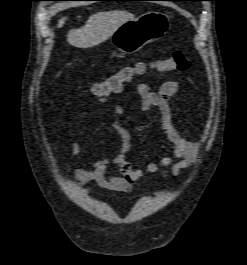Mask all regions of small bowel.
<instances>
[{
  "label": "small bowel",
  "mask_w": 247,
  "mask_h": 265,
  "mask_svg": "<svg viewBox=\"0 0 247 265\" xmlns=\"http://www.w3.org/2000/svg\"><path fill=\"white\" fill-rule=\"evenodd\" d=\"M130 87L134 88L141 98L140 109L142 111L147 112L155 109L159 113L161 130L165 139L173 145V153L157 162L147 164L144 168H134L127 158L133 145L130 133L121 122H116L114 127L121 140L120 152L111 158L92 162L88 164V168H75L73 174L80 181V186L95 184L111 191L130 194L137 181L146 174H154L162 169L170 168L161 176L163 178L178 176L195 162L199 144L182 136L174 126L172 119L170 98L180 93L179 83L166 81L158 90H153L143 82H134L130 84ZM112 108L118 115L124 113V108L119 104H114ZM71 149L73 157L83 163L80 144L74 142ZM110 168H115L120 175H109Z\"/></svg>",
  "instance_id": "1"
}]
</instances>
